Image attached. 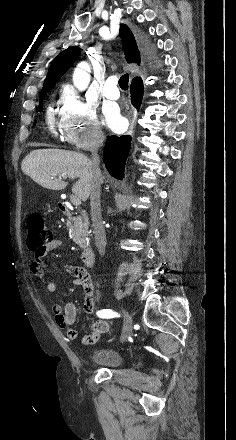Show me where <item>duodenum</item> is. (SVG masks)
<instances>
[{"mask_svg":"<svg viewBox=\"0 0 236 440\" xmlns=\"http://www.w3.org/2000/svg\"><path fill=\"white\" fill-rule=\"evenodd\" d=\"M58 206H59L61 212L65 216L72 215L71 210L63 201L59 202ZM94 259H95V254H94L93 248L91 246L86 247L81 254V261L84 264V266H86L88 268L92 267L94 264Z\"/></svg>","mask_w":236,"mask_h":440,"instance_id":"duodenum-1","label":"duodenum"}]
</instances>
